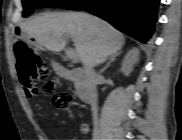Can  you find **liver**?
<instances>
[{"label":"liver","mask_w":182,"mask_h":140,"mask_svg":"<svg viewBox=\"0 0 182 140\" xmlns=\"http://www.w3.org/2000/svg\"><path fill=\"white\" fill-rule=\"evenodd\" d=\"M21 32L39 47L60 52L71 37L82 64L94 67L117 53L124 45L123 35L106 21L82 12L43 13L20 25Z\"/></svg>","instance_id":"1"}]
</instances>
